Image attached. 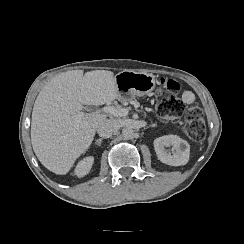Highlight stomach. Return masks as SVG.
I'll return each mask as SVG.
<instances>
[{
  "label": "stomach",
  "mask_w": 244,
  "mask_h": 244,
  "mask_svg": "<svg viewBox=\"0 0 244 244\" xmlns=\"http://www.w3.org/2000/svg\"><path fill=\"white\" fill-rule=\"evenodd\" d=\"M115 83L120 92L119 99L128 101L153 91L157 85V77L147 72L124 70L115 76Z\"/></svg>",
  "instance_id": "obj_1"
}]
</instances>
